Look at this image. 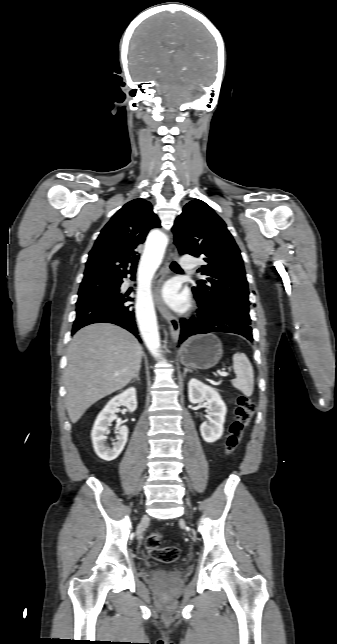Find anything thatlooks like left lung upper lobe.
Returning <instances> with one entry per match:
<instances>
[{"mask_svg": "<svg viewBox=\"0 0 337 644\" xmlns=\"http://www.w3.org/2000/svg\"><path fill=\"white\" fill-rule=\"evenodd\" d=\"M181 254L203 256L206 276L192 291L205 308H219L251 325L249 291L240 250L224 221L201 200L187 203L172 228Z\"/></svg>", "mask_w": 337, "mask_h": 644, "instance_id": "1", "label": "left lung upper lobe"}]
</instances>
